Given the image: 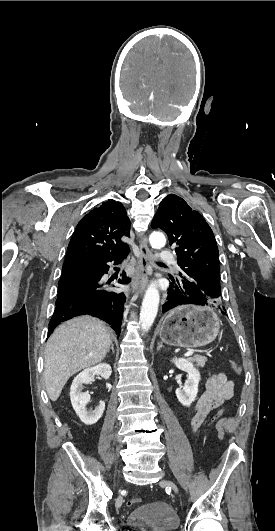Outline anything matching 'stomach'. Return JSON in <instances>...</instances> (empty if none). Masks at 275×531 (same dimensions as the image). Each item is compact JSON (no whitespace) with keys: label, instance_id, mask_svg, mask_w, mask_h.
<instances>
[{"label":"stomach","instance_id":"0dacf381","mask_svg":"<svg viewBox=\"0 0 275 531\" xmlns=\"http://www.w3.org/2000/svg\"><path fill=\"white\" fill-rule=\"evenodd\" d=\"M221 321L209 307L199 301H181L180 307L164 315L159 331L160 339L171 347L196 349L216 339Z\"/></svg>","mask_w":275,"mask_h":531}]
</instances>
